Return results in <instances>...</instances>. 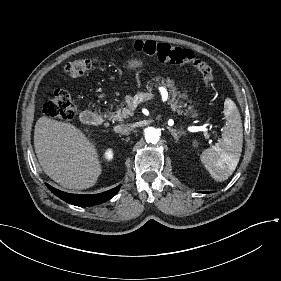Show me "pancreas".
<instances>
[{
	"mask_svg": "<svg viewBox=\"0 0 281 281\" xmlns=\"http://www.w3.org/2000/svg\"><path fill=\"white\" fill-rule=\"evenodd\" d=\"M164 87H167L169 88L170 90V93L172 95V98H169L168 99V104H170V106H172L174 109L177 108V102H174L175 101V92H176V89L173 88V85L168 81L167 83H165V80L162 79L161 82H160ZM125 105V101H122L121 102V107H119L118 111L116 114H112L109 116V118L113 121H123L125 118H129V116H132L133 115V112L132 111H128L125 112L124 111V106Z\"/></svg>",
	"mask_w": 281,
	"mask_h": 281,
	"instance_id": "obj_1",
	"label": "pancreas"
}]
</instances>
